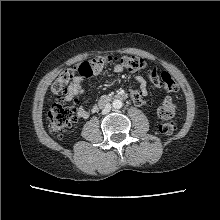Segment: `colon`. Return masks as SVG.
Segmentation results:
<instances>
[{
    "label": "colon",
    "instance_id": "1",
    "mask_svg": "<svg viewBox=\"0 0 220 220\" xmlns=\"http://www.w3.org/2000/svg\"><path fill=\"white\" fill-rule=\"evenodd\" d=\"M119 62L130 72H140L146 67V62L134 55H124L121 57L99 56L84 62L79 66L62 69L58 77L51 84V93L56 97L49 111V121L51 133L56 137L63 136L76 120L77 109L75 104L67 105L69 86L75 75H87L91 72L92 66L105 63ZM150 81L158 88L167 93L177 91L178 84L174 77L168 72L158 73L155 69L148 72ZM176 114V107L170 98H165L158 109V116L162 120L159 125V132L162 135H171L175 130V125L171 122Z\"/></svg>",
    "mask_w": 220,
    "mask_h": 220
}]
</instances>
